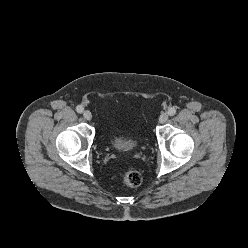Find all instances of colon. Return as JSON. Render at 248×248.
<instances>
[{
  "label": "colon",
  "mask_w": 248,
  "mask_h": 248,
  "mask_svg": "<svg viewBox=\"0 0 248 248\" xmlns=\"http://www.w3.org/2000/svg\"><path fill=\"white\" fill-rule=\"evenodd\" d=\"M121 180L130 187H137L142 183V176L138 171L131 170L121 174Z\"/></svg>",
  "instance_id": "1"
}]
</instances>
